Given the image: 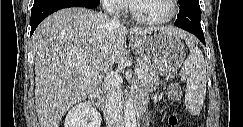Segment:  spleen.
Instances as JSON below:
<instances>
[{
	"mask_svg": "<svg viewBox=\"0 0 243 127\" xmlns=\"http://www.w3.org/2000/svg\"><path fill=\"white\" fill-rule=\"evenodd\" d=\"M190 54L184 62L182 74L187 79L185 104L192 114H199L206 94V66L202 52L186 39Z\"/></svg>",
	"mask_w": 243,
	"mask_h": 127,
	"instance_id": "1",
	"label": "spleen"
}]
</instances>
